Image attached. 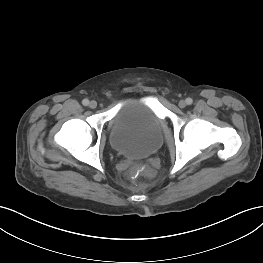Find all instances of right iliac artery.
I'll list each match as a JSON object with an SVG mask.
<instances>
[{
    "label": "right iliac artery",
    "instance_id": "1",
    "mask_svg": "<svg viewBox=\"0 0 263 263\" xmlns=\"http://www.w3.org/2000/svg\"><path fill=\"white\" fill-rule=\"evenodd\" d=\"M82 104H83L84 106H87V105L89 104V100H88V99H84V100L82 101Z\"/></svg>",
    "mask_w": 263,
    "mask_h": 263
}]
</instances>
